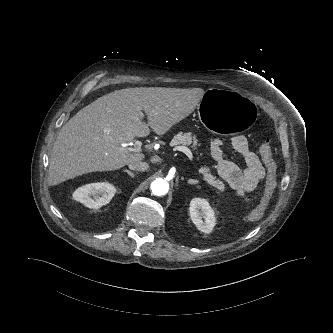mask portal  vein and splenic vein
<instances>
[{"mask_svg": "<svg viewBox=\"0 0 333 333\" xmlns=\"http://www.w3.org/2000/svg\"><path fill=\"white\" fill-rule=\"evenodd\" d=\"M141 115L143 116V114H141ZM141 145H142L141 141H136L134 143V147H127L125 149L129 153H131V152L136 153V152H139L141 150ZM122 146L126 147V146H124V144ZM175 150L183 152L189 158V160L192 161L193 154H192V152L189 148H187L185 146H178V147L175 148Z\"/></svg>", "mask_w": 333, "mask_h": 333, "instance_id": "obj_1", "label": "portal vein and splenic vein"}]
</instances>
